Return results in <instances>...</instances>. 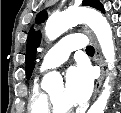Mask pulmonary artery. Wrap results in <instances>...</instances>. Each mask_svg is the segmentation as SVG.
<instances>
[{"mask_svg": "<svg viewBox=\"0 0 121 113\" xmlns=\"http://www.w3.org/2000/svg\"><path fill=\"white\" fill-rule=\"evenodd\" d=\"M84 43L85 37L78 33L64 37L43 57L40 72L62 65L72 51L83 49Z\"/></svg>", "mask_w": 121, "mask_h": 113, "instance_id": "pulmonary-artery-1", "label": "pulmonary artery"}]
</instances>
